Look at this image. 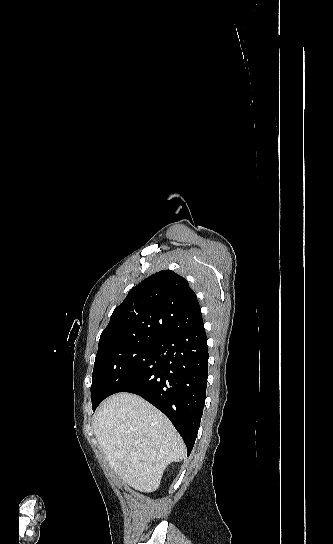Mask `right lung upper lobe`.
<instances>
[{"label":"right lung upper lobe","mask_w":333,"mask_h":544,"mask_svg":"<svg viewBox=\"0 0 333 544\" xmlns=\"http://www.w3.org/2000/svg\"><path fill=\"white\" fill-rule=\"evenodd\" d=\"M200 320V305L188 281L162 270L133 287L115 308L100 336L97 354L125 344L158 341Z\"/></svg>","instance_id":"obj_1"}]
</instances>
